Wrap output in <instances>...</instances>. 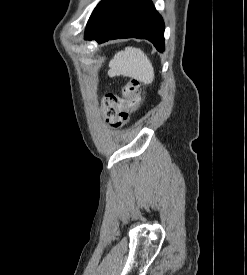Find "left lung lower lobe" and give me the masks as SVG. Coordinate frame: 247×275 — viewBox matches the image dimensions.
I'll return each mask as SVG.
<instances>
[{"label": "left lung lower lobe", "mask_w": 247, "mask_h": 275, "mask_svg": "<svg viewBox=\"0 0 247 275\" xmlns=\"http://www.w3.org/2000/svg\"><path fill=\"white\" fill-rule=\"evenodd\" d=\"M147 39L164 51V22L150 0H102L87 23L85 39Z\"/></svg>", "instance_id": "0a47b994"}]
</instances>
